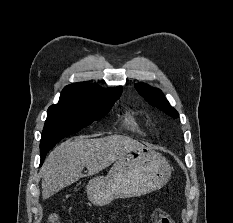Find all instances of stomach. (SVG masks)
<instances>
[{"label":"stomach","mask_w":233,"mask_h":223,"mask_svg":"<svg viewBox=\"0 0 233 223\" xmlns=\"http://www.w3.org/2000/svg\"><path fill=\"white\" fill-rule=\"evenodd\" d=\"M171 177L165 157L148 145H137L116 159L106 175L92 177L86 193L93 205H108L113 199L140 197L160 189Z\"/></svg>","instance_id":"1"}]
</instances>
